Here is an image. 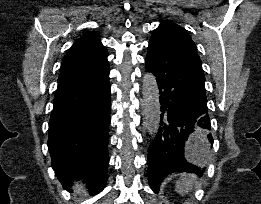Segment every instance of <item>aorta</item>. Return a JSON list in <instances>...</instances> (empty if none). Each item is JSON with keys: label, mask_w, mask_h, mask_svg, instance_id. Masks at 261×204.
<instances>
[{"label": "aorta", "mask_w": 261, "mask_h": 204, "mask_svg": "<svg viewBox=\"0 0 261 204\" xmlns=\"http://www.w3.org/2000/svg\"><path fill=\"white\" fill-rule=\"evenodd\" d=\"M142 88L146 128L150 135H156L160 124V95L156 77L152 72L144 74Z\"/></svg>", "instance_id": "obj_1"}]
</instances>
